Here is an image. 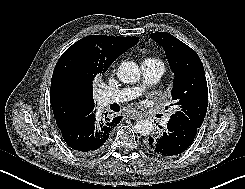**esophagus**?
<instances>
[{
    "instance_id": "obj_1",
    "label": "esophagus",
    "mask_w": 245,
    "mask_h": 189,
    "mask_svg": "<svg viewBox=\"0 0 245 189\" xmlns=\"http://www.w3.org/2000/svg\"><path fill=\"white\" fill-rule=\"evenodd\" d=\"M128 117L131 119H138L139 118V113L136 111H133L131 113L128 114Z\"/></svg>"
}]
</instances>
